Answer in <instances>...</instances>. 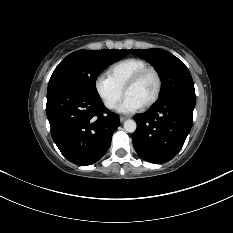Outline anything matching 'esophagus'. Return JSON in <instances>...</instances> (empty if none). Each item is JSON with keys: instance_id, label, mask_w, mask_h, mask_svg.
<instances>
[{"instance_id": "34e87169", "label": "esophagus", "mask_w": 233, "mask_h": 233, "mask_svg": "<svg viewBox=\"0 0 233 233\" xmlns=\"http://www.w3.org/2000/svg\"><path fill=\"white\" fill-rule=\"evenodd\" d=\"M126 119H127V117H125V116H120V118H119L121 123L124 122Z\"/></svg>"}]
</instances>
